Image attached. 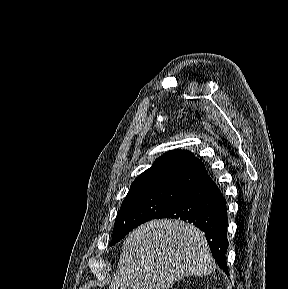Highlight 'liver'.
<instances>
[{"instance_id":"liver-1","label":"liver","mask_w":288,"mask_h":289,"mask_svg":"<svg viewBox=\"0 0 288 289\" xmlns=\"http://www.w3.org/2000/svg\"><path fill=\"white\" fill-rule=\"evenodd\" d=\"M204 233L180 220H151L125 239L109 289H167L183 276L215 269Z\"/></svg>"}]
</instances>
